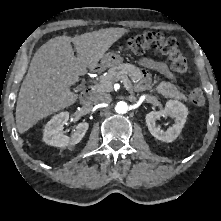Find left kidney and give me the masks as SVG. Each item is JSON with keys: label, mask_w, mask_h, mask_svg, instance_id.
<instances>
[{"label": "left kidney", "mask_w": 221, "mask_h": 221, "mask_svg": "<svg viewBox=\"0 0 221 221\" xmlns=\"http://www.w3.org/2000/svg\"><path fill=\"white\" fill-rule=\"evenodd\" d=\"M170 116L174 118V125L169 127L166 131L160 129L156 125V120H159L161 116ZM188 115L187 107L175 100H169L165 108L160 111H151L146 115V124L152 136L163 142H172L180 134Z\"/></svg>", "instance_id": "left-kidney-1"}]
</instances>
